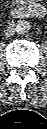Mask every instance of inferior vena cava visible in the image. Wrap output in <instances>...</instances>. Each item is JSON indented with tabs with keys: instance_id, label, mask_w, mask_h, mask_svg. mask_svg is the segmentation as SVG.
I'll return each mask as SVG.
<instances>
[{
	"instance_id": "obj_1",
	"label": "inferior vena cava",
	"mask_w": 47,
	"mask_h": 129,
	"mask_svg": "<svg viewBox=\"0 0 47 129\" xmlns=\"http://www.w3.org/2000/svg\"><path fill=\"white\" fill-rule=\"evenodd\" d=\"M13 33H14V29L13 28H8L5 35L7 37H9V36L13 35Z\"/></svg>"
}]
</instances>
